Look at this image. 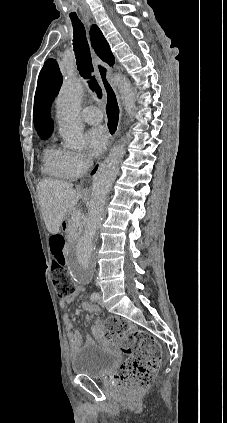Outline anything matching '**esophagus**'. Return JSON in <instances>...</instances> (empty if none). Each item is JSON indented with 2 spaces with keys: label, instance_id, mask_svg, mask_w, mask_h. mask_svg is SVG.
<instances>
[{
  "label": "esophagus",
  "instance_id": "esophagus-1",
  "mask_svg": "<svg viewBox=\"0 0 227 423\" xmlns=\"http://www.w3.org/2000/svg\"><path fill=\"white\" fill-rule=\"evenodd\" d=\"M90 25L89 22H87ZM97 75L105 92V113L110 135H115L118 129L121 117V105L117 91L111 82V68L107 63L102 62L100 58L95 59ZM117 123V125H116ZM84 179L82 180V182Z\"/></svg>",
  "mask_w": 227,
  "mask_h": 423
}]
</instances>
